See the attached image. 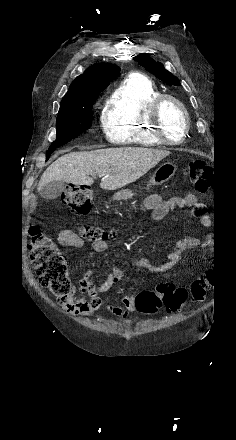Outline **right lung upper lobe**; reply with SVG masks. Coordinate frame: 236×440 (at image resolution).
<instances>
[{
    "label": "right lung upper lobe",
    "mask_w": 236,
    "mask_h": 440,
    "mask_svg": "<svg viewBox=\"0 0 236 440\" xmlns=\"http://www.w3.org/2000/svg\"><path fill=\"white\" fill-rule=\"evenodd\" d=\"M119 70L118 66L112 64L92 65L72 82L61 103L100 93L117 76Z\"/></svg>",
    "instance_id": "cb5924a9"
}]
</instances>
